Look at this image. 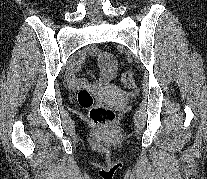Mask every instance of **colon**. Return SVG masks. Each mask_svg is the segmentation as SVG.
I'll return each mask as SVG.
<instances>
[{"label":"colon","mask_w":207,"mask_h":179,"mask_svg":"<svg viewBox=\"0 0 207 179\" xmlns=\"http://www.w3.org/2000/svg\"><path fill=\"white\" fill-rule=\"evenodd\" d=\"M121 79L123 85L129 87L133 83V73L131 71L124 72ZM77 101L82 108L89 110V116L95 124L104 127L113 125L115 121L114 111L107 106L95 104L94 98L88 90H79Z\"/></svg>","instance_id":"1"}]
</instances>
